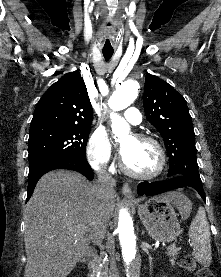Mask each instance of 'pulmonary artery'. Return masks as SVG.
Instances as JSON below:
<instances>
[{
  "label": "pulmonary artery",
  "instance_id": "obj_1",
  "mask_svg": "<svg viewBox=\"0 0 221 277\" xmlns=\"http://www.w3.org/2000/svg\"><path fill=\"white\" fill-rule=\"evenodd\" d=\"M125 119L132 125H138L142 121L140 111L135 107H129L124 112Z\"/></svg>",
  "mask_w": 221,
  "mask_h": 277
}]
</instances>
